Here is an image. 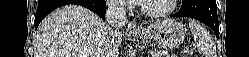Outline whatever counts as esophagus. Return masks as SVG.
I'll list each match as a JSON object with an SVG mask.
<instances>
[{
  "label": "esophagus",
  "mask_w": 249,
  "mask_h": 57,
  "mask_svg": "<svg viewBox=\"0 0 249 57\" xmlns=\"http://www.w3.org/2000/svg\"><path fill=\"white\" fill-rule=\"evenodd\" d=\"M127 30L130 31V32H135V31L140 30V27H139V25L137 24V22L131 21V22H129V24H128Z\"/></svg>",
  "instance_id": "34e87169"
}]
</instances>
